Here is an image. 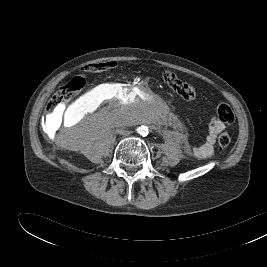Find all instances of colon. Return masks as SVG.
Here are the masks:
<instances>
[{
  "instance_id": "colon-1",
  "label": "colon",
  "mask_w": 267,
  "mask_h": 267,
  "mask_svg": "<svg viewBox=\"0 0 267 267\" xmlns=\"http://www.w3.org/2000/svg\"><path fill=\"white\" fill-rule=\"evenodd\" d=\"M112 62L93 64L88 67L89 70H104L112 66ZM163 82L172 89L176 94L186 101H192L196 98L195 88L180 79L175 73L169 70H165L162 73ZM85 86V80L82 77H74L68 81L65 85L60 87L51 98L47 112L53 115L55 111L69 102L76 94H78ZM217 116L227 124H230L234 120V114L231 107L226 103H220L216 108ZM231 138L228 133L223 132L218 137V145L220 148H226L230 145Z\"/></svg>"
}]
</instances>
